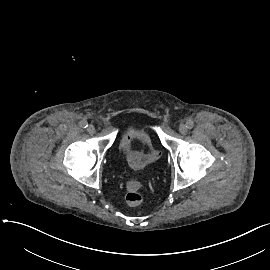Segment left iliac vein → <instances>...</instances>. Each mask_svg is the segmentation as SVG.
<instances>
[{"instance_id": "4c4485c4", "label": "left iliac vein", "mask_w": 270, "mask_h": 270, "mask_svg": "<svg viewBox=\"0 0 270 270\" xmlns=\"http://www.w3.org/2000/svg\"><path fill=\"white\" fill-rule=\"evenodd\" d=\"M187 130H188V128H187V126L185 124L182 123V124L179 125V132L181 134H186Z\"/></svg>"}]
</instances>
